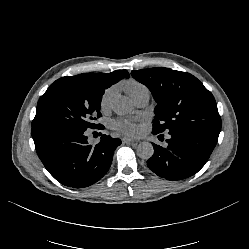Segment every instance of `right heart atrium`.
Masks as SVG:
<instances>
[{
    "label": "right heart atrium",
    "mask_w": 249,
    "mask_h": 249,
    "mask_svg": "<svg viewBox=\"0 0 249 249\" xmlns=\"http://www.w3.org/2000/svg\"><path fill=\"white\" fill-rule=\"evenodd\" d=\"M115 92H116L115 86H109L103 91L99 101V106L102 111L110 109L111 102Z\"/></svg>",
    "instance_id": "d8ad5b80"
}]
</instances>
